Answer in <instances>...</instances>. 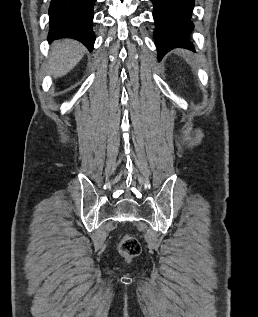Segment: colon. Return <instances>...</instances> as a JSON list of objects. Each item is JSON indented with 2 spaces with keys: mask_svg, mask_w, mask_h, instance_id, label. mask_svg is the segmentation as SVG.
Here are the masks:
<instances>
[{
  "mask_svg": "<svg viewBox=\"0 0 258 317\" xmlns=\"http://www.w3.org/2000/svg\"><path fill=\"white\" fill-rule=\"evenodd\" d=\"M119 251L124 257L133 258L139 255L141 246L134 237L125 236L120 242Z\"/></svg>",
  "mask_w": 258,
  "mask_h": 317,
  "instance_id": "colon-1",
  "label": "colon"
}]
</instances>
